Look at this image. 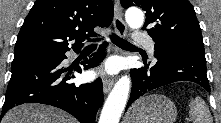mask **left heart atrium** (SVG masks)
I'll use <instances>...</instances> for the list:
<instances>
[{
	"mask_svg": "<svg viewBox=\"0 0 221 123\" xmlns=\"http://www.w3.org/2000/svg\"><path fill=\"white\" fill-rule=\"evenodd\" d=\"M106 71L108 72V73H114V72H116V70H117V67H116V65L114 64V63H108L107 65H106Z\"/></svg>",
	"mask_w": 221,
	"mask_h": 123,
	"instance_id": "left-heart-atrium-1",
	"label": "left heart atrium"
}]
</instances>
